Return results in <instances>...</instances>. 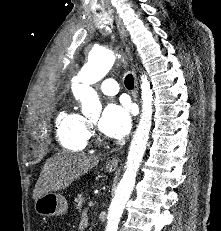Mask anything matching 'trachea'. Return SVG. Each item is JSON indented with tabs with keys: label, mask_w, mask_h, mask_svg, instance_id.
I'll return each instance as SVG.
<instances>
[{
	"label": "trachea",
	"mask_w": 221,
	"mask_h": 231,
	"mask_svg": "<svg viewBox=\"0 0 221 231\" xmlns=\"http://www.w3.org/2000/svg\"><path fill=\"white\" fill-rule=\"evenodd\" d=\"M124 84H125L127 89H133V87H134V78H133L132 74H128L125 77Z\"/></svg>",
	"instance_id": "trachea-1"
}]
</instances>
